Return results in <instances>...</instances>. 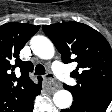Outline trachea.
<instances>
[{
	"mask_svg": "<svg viewBox=\"0 0 112 112\" xmlns=\"http://www.w3.org/2000/svg\"><path fill=\"white\" fill-rule=\"evenodd\" d=\"M45 73V68L43 65L38 64L35 68V75H44Z\"/></svg>",
	"mask_w": 112,
	"mask_h": 112,
	"instance_id": "3493384b",
	"label": "trachea"
}]
</instances>
